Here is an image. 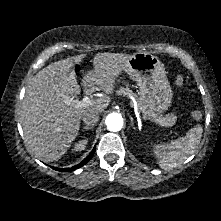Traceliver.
Here are the masks:
<instances>
[{
	"mask_svg": "<svg viewBox=\"0 0 221 221\" xmlns=\"http://www.w3.org/2000/svg\"><path fill=\"white\" fill-rule=\"evenodd\" d=\"M84 57L78 55L48 65L32 78L26 89L20 121L26 144L42 161L61 158L76 139L83 115L90 111L102 112L111 101L107 97L101 98L81 108L65 102L81 93L74 66ZM131 57L123 53L96 54L87 86H98L111 94L117 77Z\"/></svg>",
	"mask_w": 221,
	"mask_h": 221,
	"instance_id": "obj_1",
	"label": "liver"
}]
</instances>
